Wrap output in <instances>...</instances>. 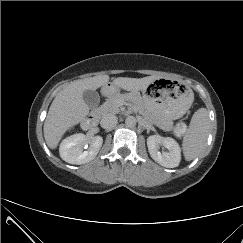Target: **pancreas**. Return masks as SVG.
Masks as SVG:
<instances>
[{"label": "pancreas", "mask_w": 243, "mask_h": 243, "mask_svg": "<svg viewBox=\"0 0 243 243\" xmlns=\"http://www.w3.org/2000/svg\"><path fill=\"white\" fill-rule=\"evenodd\" d=\"M132 97L125 96V95H116L112 98L108 99L103 105H101L97 111L101 115H106L108 113H114L117 114L120 112V103L123 100H130ZM139 112L143 115L145 119H147L149 122L157 125L158 127L162 128L163 130H171L172 128V122L171 121H165L162 119H159L158 117L154 116L149 111L145 110L144 107H139Z\"/></svg>", "instance_id": "obj_1"}]
</instances>
